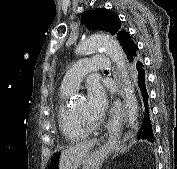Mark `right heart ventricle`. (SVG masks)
Returning a JSON list of instances; mask_svg holds the SVG:
<instances>
[{
	"label": "right heart ventricle",
	"mask_w": 177,
	"mask_h": 169,
	"mask_svg": "<svg viewBox=\"0 0 177 169\" xmlns=\"http://www.w3.org/2000/svg\"><path fill=\"white\" fill-rule=\"evenodd\" d=\"M75 91H60V101L58 105V122L62 135L69 141H80L88 136L78 123L73 110L68 108L66 101Z\"/></svg>",
	"instance_id": "e07e8e85"
}]
</instances>
